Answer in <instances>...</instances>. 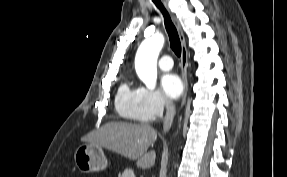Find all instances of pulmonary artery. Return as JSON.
<instances>
[{
    "mask_svg": "<svg viewBox=\"0 0 287 177\" xmlns=\"http://www.w3.org/2000/svg\"><path fill=\"white\" fill-rule=\"evenodd\" d=\"M158 65L161 69L163 70H169L172 68L173 66V62H172V58L169 55H163L159 61H158Z\"/></svg>",
    "mask_w": 287,
    "mask_h": 177,
    "instance_id": "e3ab8cb5",
    "label": "pulmonary artery"
}]
</instances>
